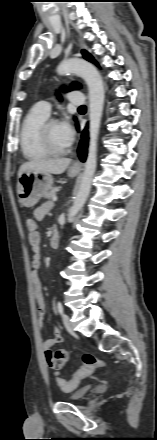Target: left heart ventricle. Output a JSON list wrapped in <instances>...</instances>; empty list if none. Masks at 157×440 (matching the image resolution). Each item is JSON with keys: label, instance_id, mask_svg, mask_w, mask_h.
Returning <instances> with one entry per match:
<instances>
[{"label": "left heart ventricle", "instance_id": "obj_1", "mask_svg": "<svg viewBox=\"0 0 157 440\" xmlns=\"http://www.w3.org/2000/svg\"><path fill=\"white\" fill-rule=\"evenodd\" d=\"M50 140L56 148H66L69 146L68 142L62 135L59 123H54L49 129Z\"/></svg>", "mask_w": 157, "mask_h": 440}]
</instances>
